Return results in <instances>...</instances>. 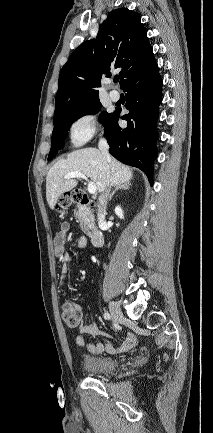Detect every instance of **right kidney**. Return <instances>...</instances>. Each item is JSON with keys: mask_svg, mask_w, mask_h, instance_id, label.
<instances>
[{"mask_svg": "<svg viewBox=\"0 0 213 433\" xmlns=\"http://www.w3.org/2000/svg\"><path fill=\"white\" fill-rule=\"evenodd\" d=\"M115 214H116L119 218H121V219L124 218V216H123V210L121 209L120 206H116V207H115Z\"/></svg>", "mask_w": 213, "mask_h": 433, "instance_id": "ca27d5eb", "label": "right kidney"}]
</instances>
